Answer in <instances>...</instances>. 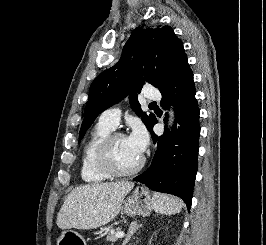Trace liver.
Segmentation results:
<instances>
[{
  "label": "liver",
  "mask_w": 266,
  "mask_h": 245,
  "mask_svg": "<svg viewBox=\"0 0 266 245\" xmlns=\"http://www.w3.org/2000/svg\"><path fill=\"white\" fill-rule=\"evenodd\" d=\"M134 183H92L81 185L67 195L61 207L59 229H97L110 223L120 213L121 203L132 191Z\"/></svg>",
  "instance_id": "liver-1"
}]
</instances>
